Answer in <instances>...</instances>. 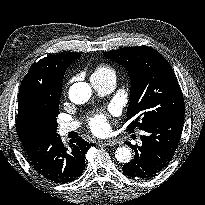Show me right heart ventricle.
I'll use <instances>...</instances> for the list:
<instances>
[{
	"label": "right heart ventricle",
	"instance_id": "e07e8e85",
	"mask_svg": "<svg viewBox=\"0 0 205 205\" xmlns=\"http://www.w3.org/2000/svg\"><path fill=\"white\" fill-rule=\"evenodd\" d=\"M108 75H114L115 76L114 69L111 66L107 65V64H100L93 71V73L91 75V78L104 77V76H108Z\"/></svg>",
	"mask_w": 205,
	"mask_h": 205
}]
</instances>
